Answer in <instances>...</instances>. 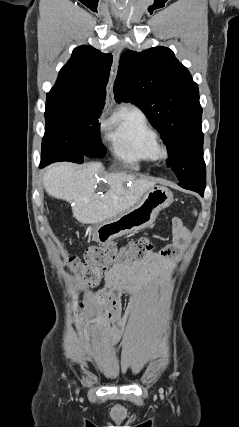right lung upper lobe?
I'll use <instances>...</instances> for the list:
<instances>
[{
    "instance_id": "1",
    "label": "right lung upper lobe",
    "mask_w": 239,
    "mask_h": 427,
    "mask_svg": "<svg viewBox=\"0 0 239 427\" xmlns=\"http://www.w3.org/2000/svg\"><path fill=\"white\" fill-rule=\"evenodd\" d=\"M112 60L111 54L101 53L91 46L75 48L60 70L56 84L47 93L46 104L103 109Z\"/></svg>"
}]
</instances>
